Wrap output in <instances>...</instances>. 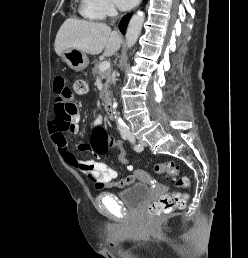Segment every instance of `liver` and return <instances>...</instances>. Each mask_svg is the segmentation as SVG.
<instances>
[{
	"mask_svg": "<svg viewBox=\"0 0 248 258\" xmlns=\"http://www.w3.org/2000/svg\"><path fill=\"white\" fill-rule=\"evenodd\" d=\"M122 38L117 31L105 23L67 19L60 27L55 39V52L62 55L67 48H73L85 54L105 57L114 55L121 46Z\"/></svg>",
	"mask_w": 248,
	"mask_h": 258,
	"instance_id": "liver-1",
	"label": "liver"
}]
</instances>
